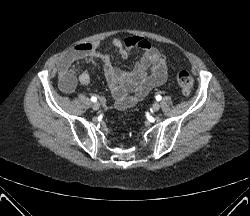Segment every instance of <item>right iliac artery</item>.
Masks as SVG:
<instances>
[{"label": "right iliac artery", "mask_w": 250, "mask_h": 216, "mask_svg": "<svg viewBox=\"0 0 250 216\" xmlns=\"http://www.w3.org/2000/svg\"><path fill=\"white\" fill-rule=\"evenodd\" d=\"M91 101H92V102H96V101H97V98L93 96V97H91Z\"/></svg>", "instance_id": "1"}]
</instances>
